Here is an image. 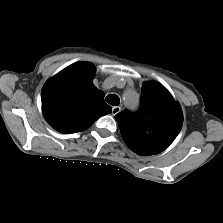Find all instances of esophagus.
<instances>
[{
	"label": "esophagus",
	"instance_id": "obj_1",
	"mask_svg": "<svg viewBox=\"0 0 223 223\" xmlns=\"http://www.w3.org/2000/svg\"><path fill=\"white\" fill-rule=\"evenodd\" d=\"M121 111V107L120 106H114L112 107V115H116Z\"/></svg>",
	"mask_w": 223,
	"mask_h": 223
}]
</instances>
